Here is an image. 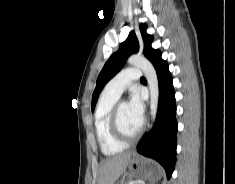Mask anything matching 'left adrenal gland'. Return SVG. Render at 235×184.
Returning a JSON list of instances; mask_svg holds the SVG:
<instances>
[{
    "mask_svg": "<svg viewBox=\"0 0 235 184\" xmlns=\"http://www.w3.org/2000/svg\"><path fill=\"white\" fill-rule=\"evenodd\" d=\"M147 184H153V182H147Z\"/></svg>",
    "mask_w": 235,
    "mask_h": 184,
    "instance_id": "a2214340",
    "label": "left adrenal gland"
}]
</instances>
